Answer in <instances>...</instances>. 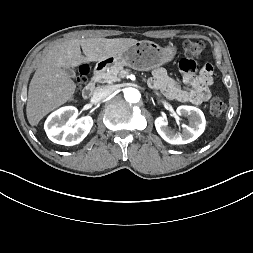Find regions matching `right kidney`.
I'll use <instances>...</instances> for the list:
<instances>
[{"instance_id":"obj_1","label":"right kidney","mask_w":253,"mask_h":253,"mask_svg":"<svg viewBox=\"0 0 253 253\" xmlns=\"http://www.w3.org/2000/svg\"><path fill=\"white\" fill-rule=\"evenodd\" d=\"M78 110L73 106L62 107L47 118L44 129L54 143L73 146L79 144L90 132L92 117L77 119Z\"/></svg>"}]
</instances>
